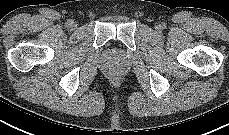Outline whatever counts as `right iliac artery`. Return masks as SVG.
Listing matches in <instances>:
<instances>
[{"label": "right iliac artery", "instance_id": "right-iliac-artery-1", "mask_svg": "<svg viewBox=\"0 0 229 135\" xmlns=\"http://www.w3.org/2000/svg\"><path fill=\"white\" fill-rule=\"evenodd\" d=\"M70 22H71V20H68V21L66 22V26H69V25H70Z\"/></svg>", "mask_w": 229, "mask_h": 135}]
</instances>
